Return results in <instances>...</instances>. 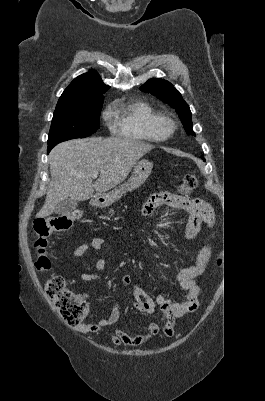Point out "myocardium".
Wrapping results in <instances>:
<instances>
[{"instance_id":"1","label":"myocardium","mask_w":265,"mask_h":401,"mask_svg":"<svg viewBox=\"0 0 265 401\" xmlns=\"http://www.w3.org/2000/svg\"><path fill=\"white\" fill-rule=\"evenodd\" d=\"M176 128V122L169 116L160 115L153 122V131L158 140H166L172 137Z\"/></svg>"}]
</instances>
